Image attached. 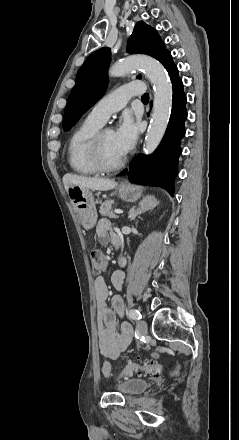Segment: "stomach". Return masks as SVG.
I'll return each instance as SVG.
<instances>
[{
    "label": "stomach",
    "mask_w": 239,
    "mask_h": 440,
    "mask_svg": "<svg viewBox=\"0 0 239 440\" xmlns=\"http://www.w3.org/2000/svg\"><path fill=\"white\" fill-rule=\"evenodd\" d=\"M68 194L81 226L85 230L94 228L97 222V210L92 192L88 188L75 186V188H70ZM118 194L119 198H122L125 202H137L143 194V188L142 186L125 184L124 188H118Z\"/></svg>",
    "instance_id": "stomach-1"
}]
</instances>
